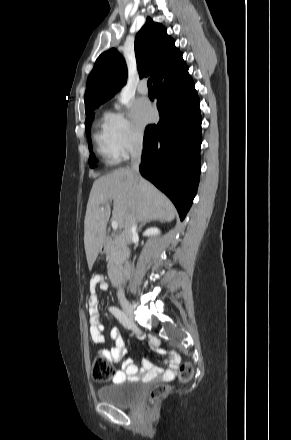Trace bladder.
Here are the masks:
<instances>
[{
	"mask_svg": "<svg viewBox=\"0 0 291 440\" xmlns=\"http://www.w3.org/2000/svg\"><path fill=\"white\" fill-rule=\"evenodd\" d=\"M141 382L135 380H121L111 385L97 389L96 396L102 402L114 404L118 407H130L141 397Z\"/></svg>",
	"mask_w": 291,
	"mask_h": 440,
	"instance_id": "31cf9c89",
	"label": "bladder"
}]
</instances>
